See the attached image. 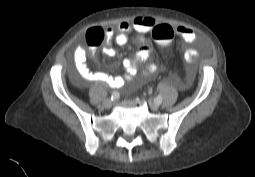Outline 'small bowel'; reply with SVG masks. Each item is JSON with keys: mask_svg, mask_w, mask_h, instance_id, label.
Masks as SVG:
<instances>
[{"mask_svg": "<svg viewBox=\"0 0 255 177\" xmlns=\"http://www.w3.org/2000/svg\"><path fill=\"white\" fill-rule=\"evenodd\" d=\"M157 21L151 17L138 16L131 21H122L117 25V33L112 27L105 28L106 45L103 47V54L107 57H112L115 54L111 42L114 41L117 45L123 46L128 42V36L132 32H136L139 37V48L134 58H128L123 61L126 72L123 75L112 76L100 71H92L87 64V50L85 46L79 45L73 53V61L78 75L88 82H99L109 85L114 88L125 86L129 82L138 84L150 78L160 70V66L155 63H149L140 73L138 65L147 62L153 55L154 51L151 44L148 42L145 34L149 33L155 26ZM178 37L188 43H194L197 39L195 32L186 26L176 27ZM196 58V52L189 49L184 54L186 63H191Z\"/></svg>", "mask_w": 255, "mask_h": 177, "instance_id": "c3829d8e", "label": "small bowel"}]
</instances>
